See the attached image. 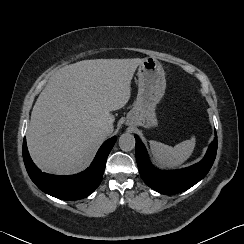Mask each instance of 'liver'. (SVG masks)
<instances>
[{"instance_id": "obj_1", "label": "liver", "mask_w": 244, "mask_h": 244, "mask_svg": "<svg viewBox=\"0 0 244 244\" xmlns=\"http://www.w3.org/2000/svg\"><path fill=\"white\" fill-rule=\"evenodd\" d=\"M143 59L83 60L60 68L40 93L26 138L34 163L44 172L83 171L113 124L112 111L126 105L131 80Z\"/></svg>"}]
</instances>
